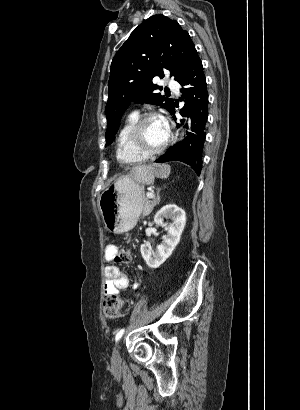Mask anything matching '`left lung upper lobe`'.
<instances>
[{"label":"left lung upper lobe","instance_id":"5c2ea615","mask_svg":"<svg viewBox=\"0 0 300 410\" xmlns=\"http://www.w3.org/2000/svg\"><path fill=\"white\" fill-rule=\"evenodd\" d=\"M197 54L194 43L179 23L164 15H154L135 28L112 60L108 84L106 143L110 145L118 131L120 119L129 104L149 103L170 113L173 99L157 90L155 76L165 72L178 81L189 69Z\"/></svg>","mask_w":300,"mask_h":410}]
</instances>
